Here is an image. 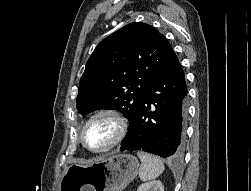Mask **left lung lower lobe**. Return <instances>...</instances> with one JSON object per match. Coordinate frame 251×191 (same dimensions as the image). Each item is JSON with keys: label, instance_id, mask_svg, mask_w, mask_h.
Masks as SVG:
<instances>
[{"label": "left lung lower lobe", "instance_id": "1", "mask_svg": "<svg viewBox=\"0 0 251 191\" xmlns=\"http://www.w3.org/2000/svg\"><path fill=\"white\" fill-rule=\"evenodd\" d=\"M186 95L184 72L172 51L149 85L120 150H143L164 158L181 156Z\"/></svg>", "mask_w": 251, "mask_h": 191}]
</instances>
